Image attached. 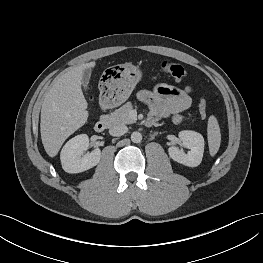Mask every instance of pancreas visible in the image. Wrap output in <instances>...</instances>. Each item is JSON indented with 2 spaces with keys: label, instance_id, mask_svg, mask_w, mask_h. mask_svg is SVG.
Masks as SVG:
<instances>
[{
  "label": "pancreas",
  "instance_id": "pancreas-1",
  "mask_svg": "<svg viewBox=\"0 0 263 263\" xmlns=\"http://www.w3.org/2000/svg\"><path fill=\"white\" fill-rule=\"evenodd\" d=\"M132 110V105L127 103L116 109L111 114L107 115L106 118L109 120L111 125L118 124H132L135 123L136 120L130 117L129 112Z\"/></svg>",
  "mask_w": 263,
  "mask_h": 263
}]
</instances>
